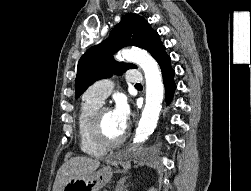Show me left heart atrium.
<instances>
[{
	"instance_id": "obj_1",
	"label": "left heart atrium",
	"mask_w": 251,
	"mask_h": 191,
	"mask_svg": "<svg viewBox=\"0 0 251 191\" xmlns=\"http://www.w3.org/2000/svg\"><path fill=\"white\" fill-rule=\"evenodd\" d=\"M112 120L115 124V126L123 132L128 124L129 116H130V110L128 105L125 102H118L113 107V109L110 111Z\"/></svg>"
}]
</instances>
